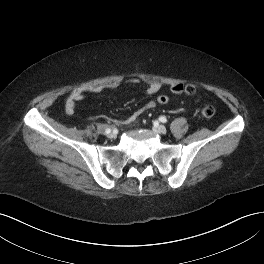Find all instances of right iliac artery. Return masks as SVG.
<instances>
[{"instance_id":"82829eb1","label":"right iliac artery","mask_w":264,"mask_h":264,"mask_svg":"<svg viewBox=\"0 0 264 264\" xmlns=\"http://www.w3.org/2000/svg\"><path fill=\"white\" fill-rule=\"evenodd\" d=\"M111 132V129L110 128H105V133L108 134Z\"/></svg>"}]
</instances>
